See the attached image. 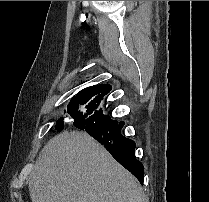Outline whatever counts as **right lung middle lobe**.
<instances>
[{
  "label": "right lung middle lobe",
  "instance_id": "1",
  "mask_svg": "<svg viewBox=\"0 0 209 202\" xmlns=\"http://www.w3.org/2000/svg\"><path fill=\"white\" fill-rule=\"evenodd\" d=\"M80 92L76 95V97L74 96L72 98V100L70 101L67 111L69 113V115L73 118L74 116L78 115L80 110H79V104L82 105L81 101H80ZM63 118H60L57 123H56V130L57 131H61L63 129Z\"/></svg>",
  "mask_w": 209,
  "mask_h": 202
}]
</instances>
